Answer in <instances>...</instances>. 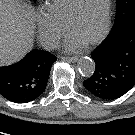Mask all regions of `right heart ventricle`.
<instances>
[{
    "mask_svg": "<svg viewBox=\"0 0 135 135\" xmlns=\"http://www.w3.org/2000/svg\"><path fill=\"white\" fill-rule=\"evenodd\" d=\"M79 0H49L45 5V15L58 27L64 29L69 16Z\"/></svg>",
    "mask_w": 135,
    "mask_h": 135,
    "instance_id": "1",
    "label": "right heart ventricle"
}]
</instances>
